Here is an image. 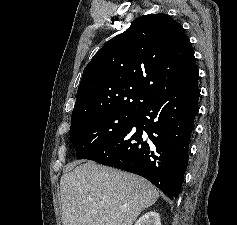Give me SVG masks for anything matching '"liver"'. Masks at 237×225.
Segmentation results:
<instances>
[{
	"label": "liver",
	"instance_id": "obj_1",
	"mask_svg": "<svg viewBox=\"0 0 237 225\" xmlns=\"http://www.w3.org/2000/svg\"><path fill=\"white\" fill-rule=\"evenodd\" d=\"M63 225H132L159 192L144 178L87 161L60 180Z\"/></svg>",
	"mask_w": 237,
	"mask_h": 225
}]
</instances>
